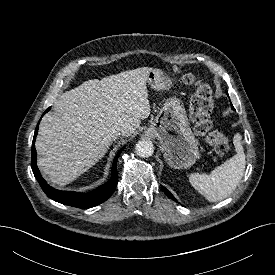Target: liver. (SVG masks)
<instances>
[{"label": "liver", "mask_w": 275, "mask_h": 275, "mask_svg": "<svg viewBox=\"0 0 275 275\" xmlns=\"http://www.w3.org/2000/svg\"><path fill=\"white\" fill-rule=\"evenodd\" d=\"M150 67L85 81L60 95L36 138L38 167L53 184L66 185L95 165L124 128L127 136L150 115Z\"/></svg>", "instance_id": "1"}]
</instances>
